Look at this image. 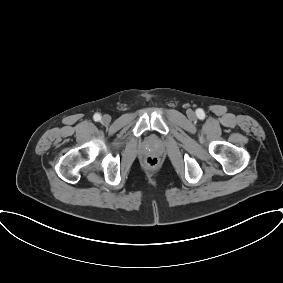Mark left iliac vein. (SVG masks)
I'll return each mask as SVG.
<instances>
[{
	"label": "left iliac vein",
	"mask_w": 283,
	"mask_h": 283,
	"mask_svg": "<svg viewBox=\"0 0 283 283\" xmlns=\"http://www.w3.org/2000/svg\"><path fill=\"white\" fill-rule=\"evenodd\" d=\"M188 116H189V118L193 119V118H195V113L193 111H189Z\"/></svg>",
	"instance_id": "obj_1"
}]
</instances>
